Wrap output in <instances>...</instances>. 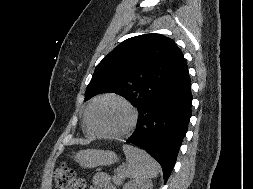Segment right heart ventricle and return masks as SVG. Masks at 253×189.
Segmentation results:
<instances>
[{"mask_svg":"<svg viewBox=\"0 0 253 189\" xmlns=\"http://www.w3.org/2000/svg\"><path fill=\"white\" fill-rule=\"evenodd\" d=\"M88 109V108H87ZM87 109H86V112H87ZM86 112H85V115H84V125H85V129H86V132L88 134H92V132L90 131L88 125H87V122H86Z\"/></svg>","mask_w":253,"mask_h":189,"instance_id":"e07e8e85","label":"right heart ventricle"}]
</instances>
